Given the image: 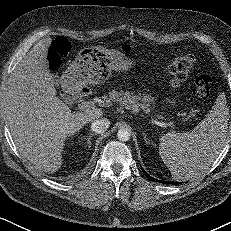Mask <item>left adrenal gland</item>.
<instances>
[{"label": "left adrenal gland", "instance_id": "1", "mask_svg": "<svg viewBox=\"0 0 231 231\" xmlns=\"http://www.w3.org/2000/svg\"><path fill=\"white\" fill-rule=\"evenodd\" d=\"M143 134V138L146 144H152V141L150 139H148L147 135L145 132L142 133Z\"/></svg>", "mask_w": 231, "mask_h": 231}]
</instances>
